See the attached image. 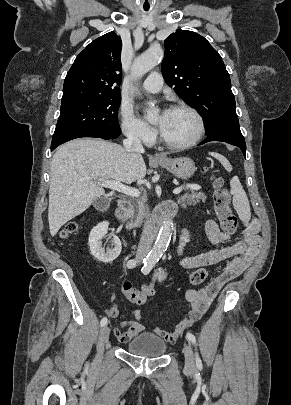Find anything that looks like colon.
Segmentation results:
<instances>
[{"label":"colon","instance_id":"1","mask_svg":"<svg viewBox=\"0 0 291 405\" xmlns=\"http://www.w3.org/2000/svg\"><path fill=\"white\" fill-rule=\"evenodd\" d=\"M204 172L207 171L205 167ZM214 192V209L220 222L221 229L226 234H234L238 228V221L230 207V195L225 187L224 180L221 177L213 176ZM77 230L75 222L69 223L61 232V237L66 238ZM207 271L203 268L196 269L189 276V282L193 285H199L205 281ZM167 273L164 269H158L151 281L142 285L140 288L133 287L127 282L123 286L125 296L134 304H144L149 297L155 293L156 286L166 280Z\"/></svg>","mask_w":291,"mask_h":405}]
</instances>
